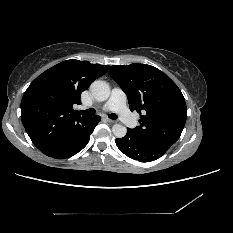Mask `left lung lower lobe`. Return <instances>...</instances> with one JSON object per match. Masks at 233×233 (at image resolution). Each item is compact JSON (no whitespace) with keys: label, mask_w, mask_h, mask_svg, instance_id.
Returning a JSON list of instances; mask_svg holds the SVG:
<instances>
[{"label":"left lung lower lobe","mask_w":233,"mask_h":233,"mask_svg":"<svg viewBox=\"0 0 233 233\" xmlns=\"http://www.w3.org/2000/svg\"><path fill=\"white\" fill-rule=\"evenodd\" d=\"M116 145L125 155L141 162L156 160L168 150L139 139L130 129H127V134L123 138L116 139Z\"/></svg>","instance_id":"0a47b994"}]
</instances>
